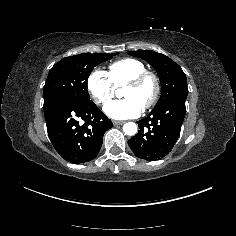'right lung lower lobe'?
I'll use <instances>...</instances> for the list:
<instances>
[{"mask_svg":"<svg viewBox=\"0 0 236 236\" xmlns=\"http://www.w3.org/2000/svg\"><path fill=\"white\" fill-rule=\"evenodd\" d=\"M48 136L55 150L73 164L93 160L113 124L92 102L56 98L43 105Z\"/></svg>","mask_w":236,"mask_h":236,"instance_id":"1","label":"right lung lower lobe"}]
</instances>
